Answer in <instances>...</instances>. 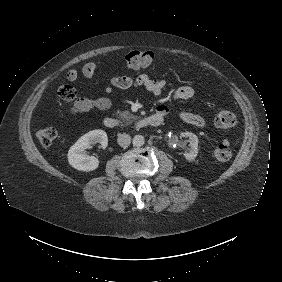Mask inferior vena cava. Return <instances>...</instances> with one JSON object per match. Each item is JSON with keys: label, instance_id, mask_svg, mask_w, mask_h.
Segmentation results:
<instances>
[{"label": "inferior vena cava", "instance_id": "obj_1", "mask_svg": "<svg viewBox=\"0 0 282 282\" xmlns=\"http://www.w3.org/2000/svg\"><path fill=\"white\" fill-rule=\"evenodd\" d=\"M117 142L121 147H127L131 142V137L127 133H120L118 134Z\"/></svg>", "mask_w": 282, "mask_h": 282}]
</instances>
